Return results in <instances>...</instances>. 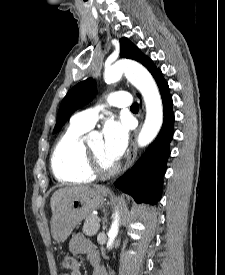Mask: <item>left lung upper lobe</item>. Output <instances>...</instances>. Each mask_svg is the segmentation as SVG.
I'll return each mask as SVG.
<instances>
[{"label": "left lung upper lobe", "mask_w": 225, "mask_h": 275, "mask_svg": "<svg viewBox=\"0 0 225 275\" xmlns=\"http://www.w3.org/2000/svg\"><path fill=\"white\" fill-rule=\"evenodd\" d=\"M120 56L134 59L142 63L154 76L159 69H156L152 61L127 38L120 40ZM96 83L92 78L84 80L74 86L64 97L58 112V119L54 128V133L58 132L70 115L77 109L89 103L96 91Z\"/></svg>", "instance_id": "left-lung-upper-lobe-1"}]
</instances>
